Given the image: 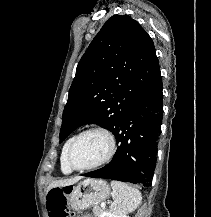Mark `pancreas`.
I'll return each mask as SVG.
<instances>
[{"mask_svg":"<svg viewBox=\"0 0 211 217\" xmlns=\"http://www.w3.org/2000/svg\"><path fill=\"white\" fill-rule=\"evenodd\" d=\"M93 212H94L96 217H100L101 214L104 212V210L102 208H100L99 206L95 205L93 207Z\"/></svg>","mask_w":211,"mask_h":217,"instance_id":"obj_1","label":"pancreas"}]
</instances>
